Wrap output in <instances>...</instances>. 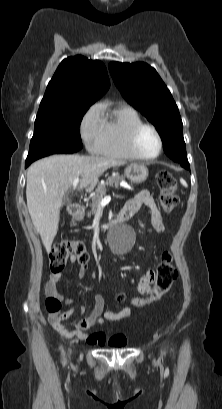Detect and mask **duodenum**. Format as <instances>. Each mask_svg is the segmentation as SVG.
<instances>
[{"label":"duodenum","mask_w":222,"mask_h":409,"mask_svg":"<svg viewBox=\"0 0 222 409\" xmlns=\"http://www.w3.org/2000/svg\"><path fill=\"white\" fill-rule=\"evenodd\" d=\"M83 211L84 209L81 205H74L70 209V213L75 219H77L83 213ZM129 217H130L129 213L119 211L114 220L117 222H123L126 221Z\"/></svg>","instance_id":"duodenum-1"}]
</instances>
